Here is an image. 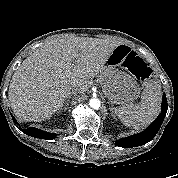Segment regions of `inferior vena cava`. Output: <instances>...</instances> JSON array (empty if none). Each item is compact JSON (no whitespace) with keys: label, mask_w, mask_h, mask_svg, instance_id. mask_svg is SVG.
<instances>
[{"label":"inferior vena cava","mask_w":178,"mask_h":178,"mask_svg":"<svg viewBox=\"0 0 178 178\" xmlns=\"http://www.w3.org/2000/svg\"><path fill=\"white\" fill-rule=\"evenodd\" d=\"M78 93V90L77 89H74V90H72V92H71V94L73 95V94H77Z\"/></svg>","instance_id":"obj_1"}]
</instances>
